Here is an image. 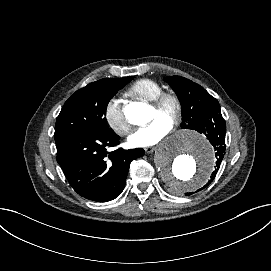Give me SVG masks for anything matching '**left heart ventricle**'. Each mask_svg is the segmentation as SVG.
I'll list each match as a JSON object with an SVG mask.
<instances>
[{"mask_svg": "<svg viewBox=\"0 0 271 271\" xmlns=\"http://www.w3.org/2000/svg\"><path fill=\"white\" fill-rule=\"evenodd\" d=\"M175 105L173 103H169L166 107V111L164 114H160L158 112H156L152 107L150 110V115H149V122H152L156 119H161L164 120L166 122H168L170 124V118L172 116V114L175 112Z\"/></svg>", "mask_w": 271, "mask_h": 271, "instance_id": "b2bd125f", "label": "left heart ventricle"}]
</instances>
